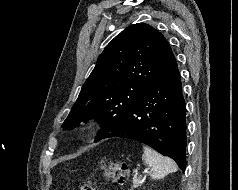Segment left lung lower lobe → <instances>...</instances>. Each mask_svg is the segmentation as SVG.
Wrapping results in <instances>:
<instances>
[{"label":"left lung lower lobe","mask_w":238,"mask_h":190,"mask_svg":"<svg viewBox=\"0 0 238 190\" xmlns=\"http://www.w3.org/2000/svg\"><path fill=\"white\" fill-rule=\"evenodd\" d=\"M186 127V104L174 58L154 76L112 131L101 139L114 136L140 141L172 158L184 172Z\"/></svg>","instance_id":"obj_1"}]
</instances>
